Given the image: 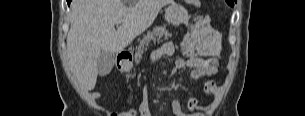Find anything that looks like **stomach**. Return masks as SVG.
Returning a JSON list of instances; mask_svg holds the SVG:
<instances>
[{
	"mask_svg": "<svg viewBox=\"0 0 305 116\" xmlns=\"http://www.w3.org/2000/svg\"><path fill=\"white\" fill-rule=\"evenodd\" d=\"M188 11L175 2L171 3L165 10V19L169 24L174 26L180 25L188 21ZM122 70L128 71L131 68V63L125 62L121 66Z\"/></svg>",
	"mask_w": 305,
	"mask_h": 116,
	"instance_id": "0dacf381",
	"label": "stomach"
}]
</instances>
